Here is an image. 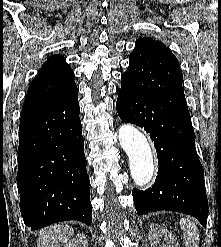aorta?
Returning <instances> with one entry per match:
<instances>
[{
  "mask_svg": "<svg viewBox=\"0 0 221 247\" xmlns=\"http://www.w3.org/2000/svg\"><path fill=\"white\" fill-rule=\"evenodd\" d=\"M118 139L129 157L131 176L137 186L150 182L154 173L153 154L146 136L132 125L119 128Z\"/></svg>",
  "mask_w": 221,
  "mask_h": 247,
  "instance_id": "1",
  "label": "aorta"
}]
</instances>
